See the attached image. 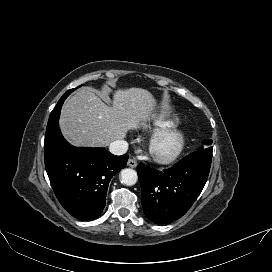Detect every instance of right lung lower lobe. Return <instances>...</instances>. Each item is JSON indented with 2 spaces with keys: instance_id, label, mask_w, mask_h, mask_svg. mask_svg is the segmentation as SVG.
<instances>
[{
  "instance_id": "obj_1",
  "label": "right lung lower lobe",
  "mask_w": 272,
  "mask_h": 272,
  "mask_svg": "<svg viewBox=\"0 0 272 272\" xmlns=\"http://www.w3.org/2000/svg\"><path fill=\"white\" fill-rule=\"evenodd\" d=\"M63 102L56 105L59 113ZM44 159L61 205L73 217L90 221L98 218L105 207L109 182L124 168L128 155L115 156L103 148L74 147L63 138L57 122L46 129Z\"/></svg>"
}]
</instances>
